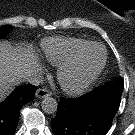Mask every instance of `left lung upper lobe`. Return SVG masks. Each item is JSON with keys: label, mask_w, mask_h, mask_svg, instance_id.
<instances>
[{"label": "left lung upper lobe", "mask_w": 135, "mask_h": 135, "mask_svg": "<svg viewBox=\"0 0 135 135\" xmlns=\"http://www.w3.org/2000/svg\"><path fill=\"white\" fill-rule=\"evenodd\" d=\"M112 83H117L118 85H123V79L121 77H117Z\"/></svg>", "instance_id": "left-lung-upper-lobe-1"}]
</instances>
